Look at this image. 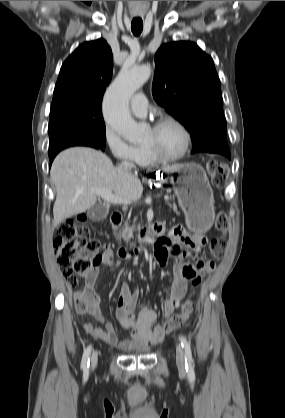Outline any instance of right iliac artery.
Wrapping results in <instances>:
<instances>
[{
	"label": "right iliac artery",
	"mask_w": 285,
	"mask_h": 418,
	"mask_svg": "<svg viewBox=\"0 0 285 418\" xmlns=\"http://www.w3.org/2000/svg\"><path fill=\"white\" fill-rule=\"evenodd\" d=\"M91 354V346H88L83 353L82 360H81V368L83 369L85 374H88V368L90 365L89 357Z\"/></svg>",
	"instance_id": "right-iliac-artery-1"
}]
</instances>
